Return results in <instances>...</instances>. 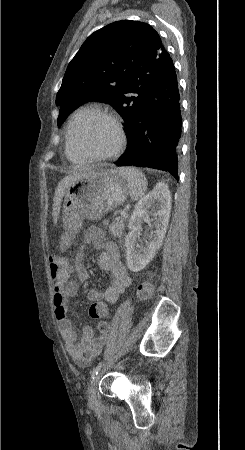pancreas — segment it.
<instances>
[{
	"mask_svg": "<svg viewBox=\"0 0 245 450\" xmlns=\"http://www.w3.org/2000/svg\"><path fill=\"white\" fill-rule=\"evenodd\" d=\"M126 217H117L115 220L109 225L110 233L115 237H121L122 231L125 227Z\"/></svg>",
	"mask_w": 245,
	"mask_h": 450,
	"instance_id": "cf45deb5",
	"label": "pancreas"
}]
</instances>
